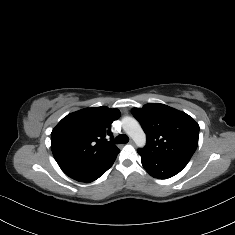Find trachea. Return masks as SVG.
I'll list each match as a JSON object with an SVG mask.
<instances>
[{
    "mask_svg": "<svg viewBox=\"0 0 235 235\" xmlns=\"http://www.w3.org/2000/svg\"><path fill=\"white\" fill-rule=\"evenodd\" d=\"M129 141V137L127 135H118L115 139L116 144H126Z\"/></svg>",
    "mask_w": 235,
    "mask_h": 235,
    "instance_id": "obj_1",
    "label": "trachea"
}]
</instances>
